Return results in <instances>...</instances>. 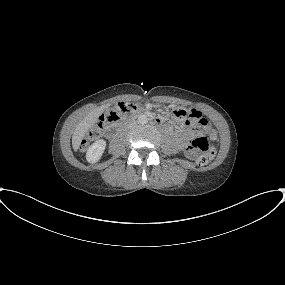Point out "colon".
<instances>
[{
	"label": "colon",
	"instance_id": "5ec220e1",
	"mask_svg": "<svg viewBox=\"0 0 285 285\" xmlns=\"http://www.w3.org/2000/svg\"><path fill=\"white\" fill-rule=\"evenodd\" d=\"M136 107L137 104L128 101L117 103L113 109L105 116L100 117L96 124L84 134L79 143L80 149L85 150L88 145L100 137L111 124L118 122L122 115L130 113ZM173 115L177 120L183 121L190 116V111L182 107H176L173 110ZM211 135L214 136L213 133ZM186 150L188 152H199L197 163L200 166L208 165L215 157V148L209 144L207 137L196 134L194 129H191L189 132Z\"/></svg>",
	"mask_w": 285,
	"mask_h": 285
}]
</instances>
